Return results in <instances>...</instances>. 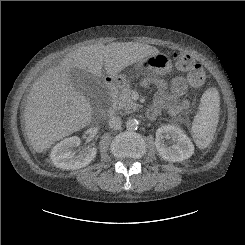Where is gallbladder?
<instances>
[{
	"mask_svg": "<svg viewBox=\"0 0 245 245\" xmlns=\"http://www.w3.org/2000/svg\"><path fill=\"white\" fill-rule=\"evenodd\" d=\"M70 77L77 91L84 94L92 105H99L105 93L100 79L79 69L71 70Z\"/></svg>",
	"mask_w": 245,
	"mask_h": 245,
	"instance_id": "obj_1",
	"label": "gallbladder"
}]
</instances>
